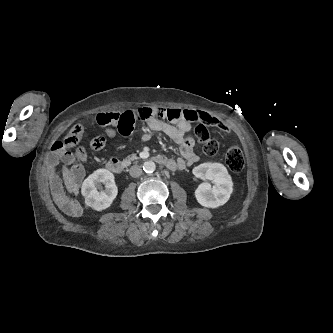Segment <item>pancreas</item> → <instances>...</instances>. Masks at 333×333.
Segmentation results:
<instances>
[{"instance_id": "pancreas-1", "label": "pancreas", "mask_w": 333, "mask_h": 333, "mask_svg": "<svg viewBox=\"0 0 333 333\" xmlns=\"http://www.w3.org/2000/svg\"><path fill=\"white\" fill-rule=\"evenodd\" d=\"M137 159H138V157L135 154H132L126 158V161L131 162V161H134Z\"/></svg>"}]
</instances>
